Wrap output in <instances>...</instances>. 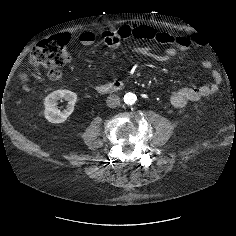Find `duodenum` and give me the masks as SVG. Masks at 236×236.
I'll return each instance as SVG.
<instances>
[{
	"label": "duodenum",
	"instance_id": "obj_1",
	"mask_svg": "<svg viewBox=\"0 0 236 236\" xmlns=\"http://www.w3.org/2000/svg\"><path fill=\"white\" fill-rule=\"evenodd\" d=\"M124 84L121 81H112L108 83H100L97 85V91L101 94L114 93L121 90Z\"/></svg>",
	"mask_w": 236,
	"mask_h": 236
}]
</instances>
